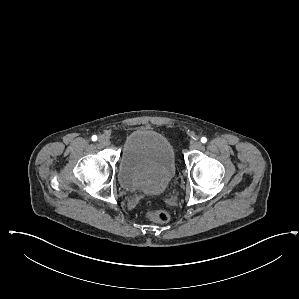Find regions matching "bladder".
Masks as SVG:
<instances>
[{
	"label": "bladder",
	"instance_id": "31cf9c89",
	"mask_svg": "<svg viewBox=\"0 0 299 299\" xmlns=\"http://www.w3.org/2000/svg\"><path fill=\"white\" fill-rule=\"evenodd\" d=\"M175 173L174 148L164 135L139 128L127 136L117 172L124 189L158 194L168 187Z\"/></svg>",
	"mask_w": 299,
	"mask_h": 299
}]
</instances>
